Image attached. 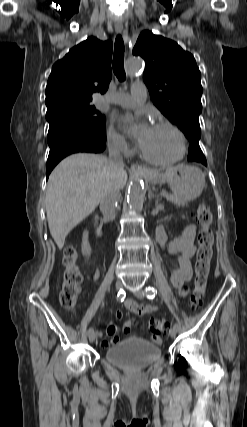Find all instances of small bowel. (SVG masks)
Here are the masks:
<instances>
[{
  "instance_id": "small-bowel-1",
  "label": "small bowel",
  "mask_w": 247,
  "mask_h": 427,
  "mask_svg": "<svg viewBox=\"0 0 247 427\" xmlns=\"http://www.w3.org/2000/svg\"><path fill=\"white\" fill-rule=\"evenodd\" d=\"M156 238L165 253L170 255H178L177 266L172 268L170 273V281L172 286L179 290L181 296H185L187 293L184 285L191 279L192 267L191 258L196 251L195 236L196 227L193 224H187L181 234L176 238L169 240L165 229L162 226L156 228ZM99 277V271L97 270L93 276V282ZM125 307L130 312L141 317L146 314L154 313L158 310L155 305H142L133 300H127ZM123 316L121 311L115 313L117 319H121ZM137 322L135 318L128 320L124 324V332L130 333L131 327ZM107 335L111 337L110 341L103 340L102 346L106 347L109 344H116L118 342L117 328L114 324L107 326ZM153 342L156 344L161 343V339L157 336L153 337Z\"/></svg>"
}]
</instances>
